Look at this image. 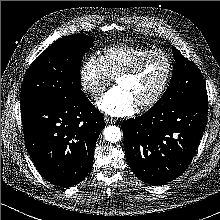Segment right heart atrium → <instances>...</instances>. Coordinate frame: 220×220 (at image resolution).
Here are the masks:
<instances>
[{
	"mask_svg": "<svg viewBox=\"0 0 220 220\" xmlns=\"http://www.w3.org/2000/svg\"><path fill=\"white\" fill-rule=\"evenodd\" d=\"M79 80L81 89L97 98L109 85L112 77L107 72L101 57L90 55L80 67Z\"/></svg>",
	"mask_w": 220,
	"mask_h": 220,
	"instance_id": "d8ad5b80",
	"label": "right heart atrium"
}]
</instances>
